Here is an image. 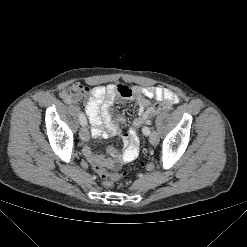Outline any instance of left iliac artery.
Instances as JSON below:
<instances>
[{
	"instance_id": "left-iliac-artery-1",
	"label": "left iliac artery",
	"mask_w": 247,
	"mask_h": 247,
	"mask_svg": "<svg viewBox=\"0 0 247 247\" xmlns=\"http://www.w3.org/2000/svg\"><path fill=\"white\" fill-rule=\"evenodd\" d=\"M143 133H144V135L148 136L151 132H150V129L148 127H144Z\"/></svg>"
}]
</instances>
